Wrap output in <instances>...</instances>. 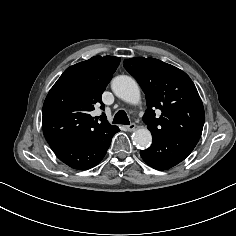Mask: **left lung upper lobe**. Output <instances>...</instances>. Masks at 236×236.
Listing matches in <instances>:
<instances>
[{
  "label": "left lung upper lobe",
  "mask_w": 236,
  "mask_h": 236,
  "mask_svg": "<svg viewBox=\"0 0 236 236\" xmlns=\"http://www.w3.org/2000/svg\"><path fill=\"white\" fill-rule=\"evenodd\" d=\"M124 67L145 93L147 110L143 122L153 138L201 137L204 108L194 83L185 72L158 59L144 57L126 59ZM156 109L162 112L159 118Z\"/></svg>",
  "instance_id": "left-lung-upper-lobe-1"
}]
</instances>
